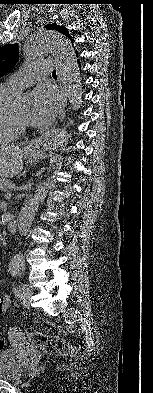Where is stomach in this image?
<instances>
[{
	"mask_svg": "<svg viewBox=\"0 0 153 393\" xmlns=\"http://www.w3.org/2000/svg\"><path fill=\"white\" fill-rule=\"evenodd\" d=\"M23 155L24 158L26 159V162L29 164H36L40 160L46 157L43 151H40L36 146L33 148H29V147L24 148Z\"/></svg>",
	"mask_w": 153,
	"mask_h": 393,
	"instance_id": "obj_1",
	"label": "stomach"
}]
</instances>
